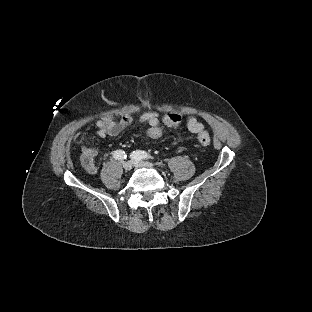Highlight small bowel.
<instances>
[{
  "instance_id": "c3829d8e",
  "label": "small bowel",
  "mask_w": 312,
  "mask_h": 312,
  "mask_svg": "<svg viewBox=\"0 0 312 312\" xmlns=\"http://www.w3.org/2000/svg\"><path fill=\"white\" fill-rule=\"evenodd\" d=\"M133 122V116L131 114H124L120 119H115L111 116L104 117L95 122V127L97 129V136L104 138L107 136H117L126 127H128ZM139 122L150 124H160V117L157 112L149 111L143 113L139 117ZM186 126L188 130L194 134L198 135L204 130L203 123L198 120L195 116H189L186 119ZM98 151L94 147L83 146L81 149V163L83 168L87 173L94 175L98 172V167L95 164V157Z\"/></svg>"
}]
</instances>
